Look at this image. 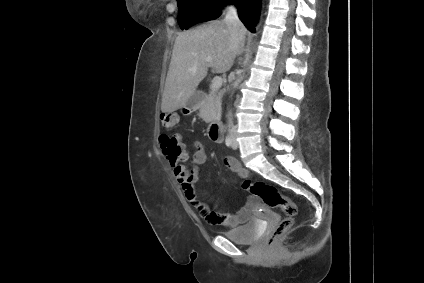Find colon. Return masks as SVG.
<instances>
[{
  "label": "colon",
  "instance_id": "5ec220e1",
  "mask_svg": "<svg viewBox=\"0 0 424 283\" xmlns=\"http://www.w3.org/2000/svg\"><path fill=\"white\" fill-rule=\"evenodd\" d=\"M178 120L179 116L176 113H163L160 116L162 127L167 130L174 128ZM159 142L164 156L173 167L185 160L186 153L178 135L161 134ZM241 187L265 205L279 207L283 211L285 217L278 225L266 232L267 244L271 247L275 246L280 237L293 225L298 213L296 204L288 196L280 193L276 187L263 181L245 179L241 182Z\"/></svg>",
  "mask_w": 424,
  "mask_h": 283
}]
</instances>
